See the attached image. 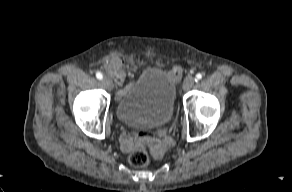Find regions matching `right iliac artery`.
Wrapping results in <instances>:
<instances>
[{
	"label": "right iliac artery",
	"mask_w": 292,
	"mask_h": 192,
	"mask_svg": "<svg viewBox=\"0 0 292 192\" xmlns=\"http://www.w3.org/2000/svg\"><path fill=\"white\" fill-rule=\"evenodd\" d=\"M96 77H97V79L101 80L103 78V75L101 72H97Z\"/></svg>",
	"instance_id": "82829eb1"
}]
</instances>
